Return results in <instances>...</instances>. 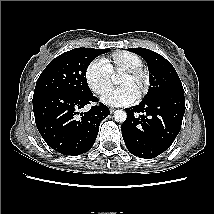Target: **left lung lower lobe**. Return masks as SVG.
Masks as SVG:
<instances>
[{
	"instance_id": "0a47b994",
	"label": "left lung lower lobe",
	"mask_w": 214,
	"mask_h": 214,
	"mask_svg": "<svg viewBox=\"0 0 214 214\" xmlns=\"http://www.w3.org/2000/svg\"><path fill=\"white\" fill-rule=\"evenodd\" d=\"M122 137L130 153L151 159L165 152L178 135L185 112L184 94H166L126 108Z\"/></svg>"
}]
</instances>
